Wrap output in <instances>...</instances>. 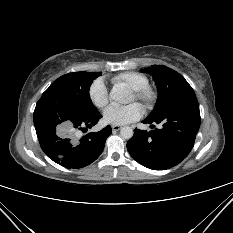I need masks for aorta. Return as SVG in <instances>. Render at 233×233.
<instances>
[{
	"instance_id": "obj_1",
	"label": "aorta",
	"mask_w": 233,
	"mask_h": 233,
	"mask_svg": "<svg viewBox=\"0 0 233 233\" xmlns=\"http://www.w3.org/2000/svg\"><path fill=\"white\" fill-rule=\"evenodd\" d=\"M110 99L120 102V103H128L129 102V94L127 89L123 84H116L113 86L109 95ZM120 136L123 139H130L133 136V130L131 127L124 126L120 130Z\"/></svg>"
}]
</instances>
